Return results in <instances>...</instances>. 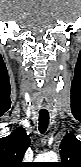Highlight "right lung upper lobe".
<instances>
[{
  "instance_id": "obj_1",
  "label": "right lung upper lobe",
  "mask_w": 81,
  "mask_h": 167,
  "mask_svg": "<svg viewBox=\"0 0 81 167\" xmlns=\"http://www.w3.org/2000/svg\"><path fill=\"white\" fill-rule=\"evenodd\" d=\"M30 139L23 127L16 128L9 136L0 139V167H27L22 158Z\"/></svg>"
}]
</instances>
